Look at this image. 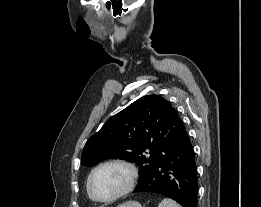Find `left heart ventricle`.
<instances>
[{"instance_id":"b2bd125f","label":"left heart ventricle","mask_w":261,"mask_h":207,"mask_svg":"<svg viewBox=\"0 0 261 207\" xmlns=\"http://www.w3.org/2000/svg\"><path fill=\"white\" fill-rule=\"evenodd\" d=\"M129 180L128 171L117 165L103 167L98 170L92 181L95 195L100 199H106L120 192Z\"/></svg>"}]
</instances>
